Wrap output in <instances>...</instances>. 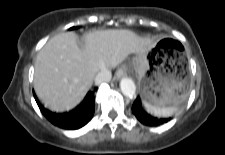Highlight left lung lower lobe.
<instances>
[{"label":"left lung lower lobe","mask_w":225,"mask_h":155,"mask_svg":"<svg viewBox=\"0 0 225 155\" xmlns=\"http://www.w3.org/2000/svg\"><path fill=\"white\" fill-rule=\"evenodd\" d=\"M132 112L142 124L147 126H159L170 120V118H157L148 114L141 106L139 97L133 103Z\"/></svg>","instance_id":"0a47b994"}]
</instances>
